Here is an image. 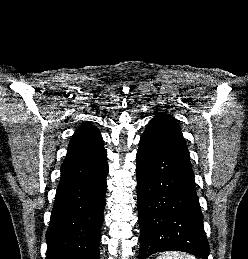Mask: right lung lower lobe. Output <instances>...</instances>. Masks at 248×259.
<instances>
[{"mask_svg":"<svg viewBox=\"0 0 248 259\" xmlns=\"http://www.w3.org/2000/svg\"><path fill=\"white\" fill-rule=\"evenodd\" d=\"M108 171L106 151L61 166L46 233V259H99Z\"/></svg>","mask_w":248,"mask_h":259,"instance_id":"1","label":"right lung lower lobe"}]
</instances>
